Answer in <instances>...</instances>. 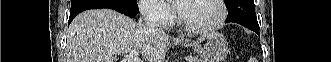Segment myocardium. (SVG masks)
Listing matches in <instances>:
<instances>
[{
    "label": "myocardium",
    "mask_w": 331,
    "mask_h": 62,
    "mask_svg": "<svg viewBox=\"0 0 331 62\" xmlns=\"http://www.w3.org/2000/svg\"><path fill=\"white\" fill-rule=\"evenodd\" d=\"M219 7L220 14L216 21L208 25L196 26L191 25L185 22L182 18L180 11L178 10L177 13V22L178 24L185 30L194 32V33H203V32H210L219 29L226 21L227 18V8L225 2L223 0H214Z\"/></svg>",
    "instance_id": "myocardium-1"
}]
</instances>
